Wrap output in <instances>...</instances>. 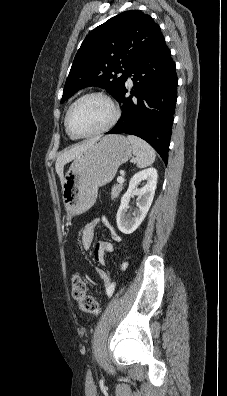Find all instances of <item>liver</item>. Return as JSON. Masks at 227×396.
<instances>
[{"label":"liver","mask_w":227,"mask_h":396,"mask_svg":"<svg viewBox=\"0 0 227 396\" xmlns=\"http://www.w3.org/2000/svg\"><path fill=\"white\" fill-rule=\"evenodd\" d=\"M98 139L99 138H93V139L83 142L80 145L74 146L70 150L65 151L63 154H61L57 158V161L55 164V169H56V172L60 178L61 184H63V180H64L63 170H64L65 164L74 160L77 156H79L84 150H86L89 146H91Z\"/></svg>","instance_id":"obj_1"}]
</instances>
